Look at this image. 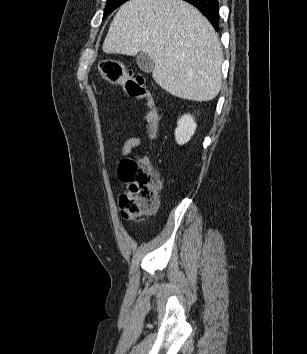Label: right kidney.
I'll return each instance as SVG.
<instances>
[{
	"instance_id": "right-kidney-1",
	"label": "right kidney",
	"mask_w": 307,
	"mask_h": 354,
	"mask_svg": "<svg viewBox=\"0 0 307 354\" xmlns=\"http://www.w3.org/2000/svg\"><path fill=\"white\" fill-rule=\"evenodd\" d=\"M196 123L193 116L184 114L177 122L175 129V139L179 145H183L190 140L196 130Z\"/></svg>"
}]
</instances>
